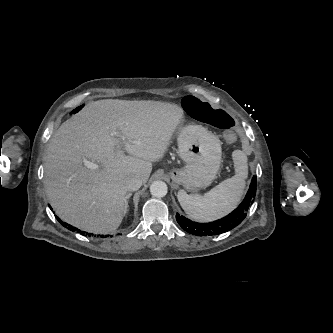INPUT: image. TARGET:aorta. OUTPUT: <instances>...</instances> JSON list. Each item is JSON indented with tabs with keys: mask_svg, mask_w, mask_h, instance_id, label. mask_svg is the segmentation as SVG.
Masks as SVG:
<instances>
[{
	"mask_svg": "<svg viewBox=\"0 0 333 333\" xmlns=\"http://www.w3.org/2000/svg\"><path fill=\"white\" fill-rule=\"evenodd\" d=\"M168 192V187L163 181H154L150 186V193L157 198L164 197Z\"/></svg>",
	"mask_w": 333,
	"mask_h": 333,
	"instance_id": "aorta-1",
	"label": "aorta"
}]
</instances>
